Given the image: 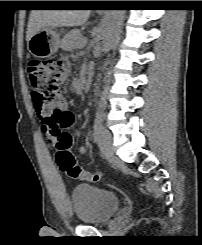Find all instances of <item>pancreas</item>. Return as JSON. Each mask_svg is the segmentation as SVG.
Returning a JSON list of instances; mask_svg holds the SVG:
<instances>
[{
	"label": "pancreas",
	"instance_id": "obj_1",
	"mask_svg": "<svg viewBox=\"0 0 202 245\" xmlns=\"http://www.w3.org/2000/svg\"><path fill=\"white\" fill-rule=\"evenodd\" d=\"M83 39L84 38L82 37L79 30H72L64 36L60 44V47L65 50H72L74 48H80L83 46V43H82Z\"/></svg>",
	"mask_w": 202,
	"mask_h": 245
}]
</instances>
